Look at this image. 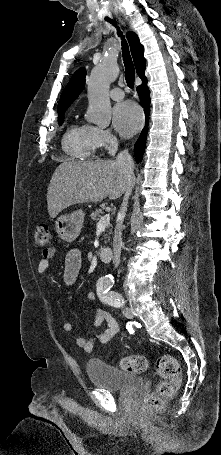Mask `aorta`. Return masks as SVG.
Here are the masks:
<instances>
[{
  "mask_svg": "<svg viewBox=\"0 0 221 455\" xmlns=\"http://www.w3.org/2000/svg\"><path fill=\"white\" fill-rule=\"evenodd\" d=\"M118 76V67L112 60L105 59L94 68L88 80L87 120L101 127H106L111 121V103L109 99V86ZM106 283H111L110 275L104 278Z\"/></svg>",
  "mask_w": 221,
  "mask_h": 455,
  "instance_id": "762f6f07",
  "label": "aorta"
}]
</instances>
